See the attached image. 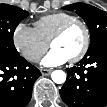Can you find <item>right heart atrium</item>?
<instances>
[{
  "instance_id": "1",
  "label": "right heart atrium",
  "mask_w": 107,
  "mask_h": 107,
  "mask_svg": "<svg viewBox=\"0 0 107 107\" xmlns=\"http://www.w3.org/2000/svg\"><path fill=\"white\" fill-rule=\"evenodd\" d=\"M12 41L19 54L30 62H37L48 49V43L39 37L34 28L25 23L15 26Z\"/></svg>"
}]
</instances>
